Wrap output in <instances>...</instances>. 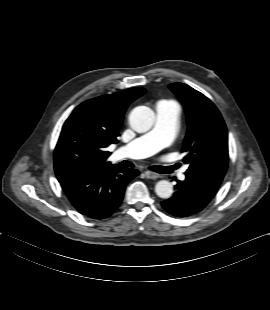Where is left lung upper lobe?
I'll list each match as a JSON object with an SVG mask.
<instances>
[{
	"label": "left lung upper lobe",
	"instance_id": "obj_1",
	"mask_svg": "<svg viewBox=\"0 0 270 310\" xmlns=\"http://www.w3.org/2000/svg\"><path fill=\"white\" fill-rule=\"evenodd\" d=\"M170 89L184 105L188 131L184 141L183 162L186 173L223 179L228 164V134L216 106L206 96L183 83Z\"/></svg>",
	"mask_w": 270,
	"mask_h": 310
}]
</instances>
